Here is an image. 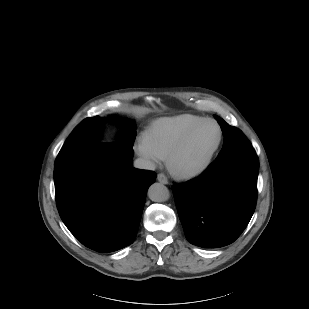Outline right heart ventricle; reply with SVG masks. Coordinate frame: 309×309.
Instances as JSON below:
<instances>
[{"instance_id":"obj_1","label":"right heart ventricle","mask_w":309,"mask_h":309,"mask_svg":"<svg viewBox=\"0 0 309 309\" xmlns=\"http://www.w3.org/2000/svg\"><path fill=\"white\" fill-rule=\"evenodd\" d=\"M202 117L183 114L154 121L144 132L143 139L160 159L168 157L178 140Z\"/></svg>"}]
</instances>
